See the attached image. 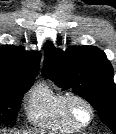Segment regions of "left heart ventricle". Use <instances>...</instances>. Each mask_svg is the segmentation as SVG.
I'll list each match as a JSON object with an SVG mask.
<instances>
[{"instance_id":"1","label":"left heart ventricle","mask_w":116,"mask_h":134,"mask_svg":"<svg viewBox=\"0 0 116 134\" xmlns=\"http://www.w3.org/2000/svg\"><path fill=\"white\" fill-rule=\"evenodd\" d=\"M77 113H78L79 117H81L82 119H86L87 113L83 108L77 107Z\"/></svg>"}]
</instances>
